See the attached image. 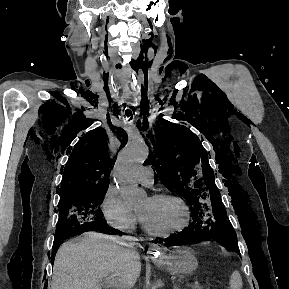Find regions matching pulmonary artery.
Masks as SVG:
<instances>
[{"instance_id": "pulmonary-artery-1", "label": "pulmonary artery", "mask_w": 289, "mask_h": 289, "mask_svg": "<svg viewBox=\"0 0 289 289\" xmlns=\"http://www.w3.org/2000/svg\"><path fill=\"white\" fill-rule=\"evenodd\" d=\"M136 179L138 183L144 186H151L154 182V172L151 166H143L138 172Z\"/></svg>"}]
</instances>
